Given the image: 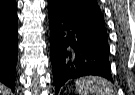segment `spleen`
<instances>
[{"mask_svg": "<svg viewBox=\"0 0 135 95\" xmlns=\"http://www.w3.org/2000/svg\"><path fill=\"white\" fill-rule=\"evenodd\" d=\"M79 95H114L110 82L98 76H88L76 81Z\"/></svg>", "mask_w": 135, "mask_h": 95, "instance_id": "3e777b00", "label": "spleen"}]
</instances>
